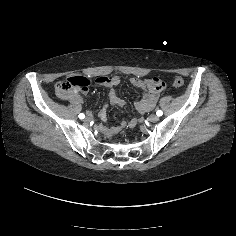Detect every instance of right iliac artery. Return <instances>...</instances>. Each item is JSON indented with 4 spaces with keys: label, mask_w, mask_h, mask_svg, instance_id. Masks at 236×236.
I'll use <instances>...</instances> for the list:
<instances>
[{
    "label": "right iliac artery",
    "mask_w": 236,
    "mask_h": 236,
    "mask_svg": "<svg viewBox=\"0 0 236 236\" xmlns=\"http://www.w3.org/2000/svg\"><path fill=\"white\" fill-rule=\"evenodd\" d=\"M79 118H80V119H84V118H85V115H84L83 113H80V114H79Z\"/></svg>",
    "instance_id": "right-iliac-artery-1"
}]
</instances>
